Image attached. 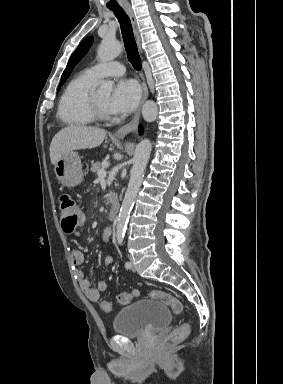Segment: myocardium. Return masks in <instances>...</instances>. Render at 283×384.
I'll use <instances>...</instances> for the list:
<instances>
[{"instance_id": "f54148a6", "label": "myocardium", "mask_w": 283, "mask_h": 384, "mask_svg": "<svg viewBox=\"0 0 283 384\" xmlns=\"http://www.w3.org/2000/svg\"><path fill=\"white\" fill-rule=\"evenodd\" d=\"M87 111L96 122H109L113 120L112 116L106 115L94 99L92 95L89 96L87 101Z\"/></svg>"}]
</instances>
